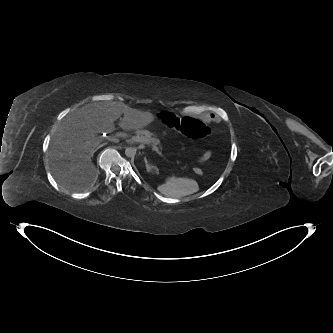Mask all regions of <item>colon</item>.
<instances>
[{
    "mask_svg": "<svg viewBox=\"0 0 333 333\" xmlns=\"http://www.w3.org/2000/svg\"><path fill=\"white\" fill-rule=\"evenodd\" d=\"M154 121L171 131L179 130L183 135L193 139L204 140L213 134V130L208 124L190 117L182 118L171 111L158 110L154 114ZM195 172L198 175L202 174L200 169H196Z\"/></svg>",
    "mask_w": 333,
    "mask_h": 333,
    "instance_id": "colon-1",
    "label": "colon"
}]
</instances>
